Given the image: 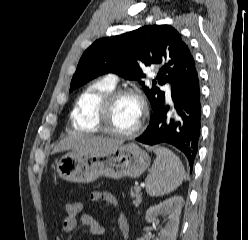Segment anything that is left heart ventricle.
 <instances>
[{
	"mask_svg": "<svg viewBox=\"0 0 248 240\" xmlns=\"http://www.w3.org/2000/svg\"><path fill=\"white\" fill-rule=\"evenodd\" d=\"M141 117V105L139 101L131 96L119 98L107 119L110 128L120 131L129 132L133 130Z\"/></svg>",
	"mask_w": 248,
	"mask_h": 240,
	"instance_id": "left-heart-ventricle-1",
	"label": "left heart ventricle"
}]
</instances>
